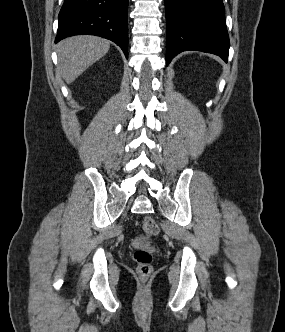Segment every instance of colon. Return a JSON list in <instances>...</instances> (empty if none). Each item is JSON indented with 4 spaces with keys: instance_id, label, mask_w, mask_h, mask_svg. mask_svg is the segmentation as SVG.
Returning a JSON list of instances; mask_svg holds the SVG:
<instances>
[{
    "instance_id": "5ec220e1",
    "label": "colon",
    "mask_w": 285,
    "mask_h": 332,
    "mask_svg": "<svg viewBox=\"0 0 285 332\" xmlns=\"http://www.w3.org/2000/svg\"><path fill=\"white\" fill-rule=\"evenodd\" d=\"M144 236H138L133 240L134 253L133 258L137 263V273L141 278H147L153 270V254L156 251L151 237L156 236L159 232L158 225L149 216L143 219Z\"/></svg>"
}]
</instances>
